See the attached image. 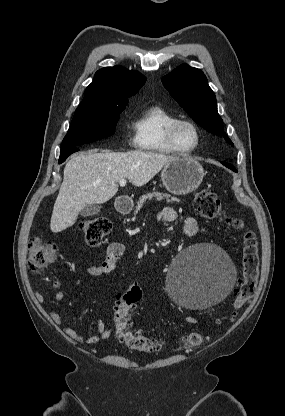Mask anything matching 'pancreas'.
<instances>
[{
    "instance_id": "pancreas-1",
    "label": "pancreas",
    "mask_w": 285,
    "mask_h": 416,
    "mask_svg": "<svg viewBox=\"0 0 285 416\" xmlns=\"http://www.w3.org/2000/svg\"><path fill=\"white\" fill-rule=\"evenodd\" d=\"M152 198H156V200H164V198H166V202H180L178 198H171L170 194H160V192H152V194H145V196H141L138 202H136L137 206L132 220H135V214H138L139 210H141L146 200H152Z\"/></svg>"
}]
</instances>
